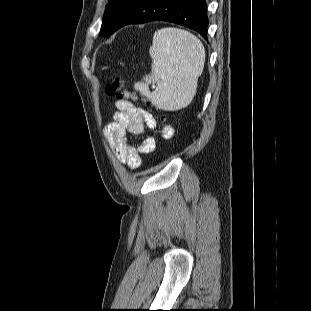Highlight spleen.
I'll use <instances>...</instances> for the list:
<instances>
[{
  "label": "spleen",
  "instance_id": "3e777b00",
  "mask_svg": "<svg viewBox=\"0 0 311 311\" xmlns=\"http://www.w3.org/2000/svg\"><path fill=\"white\" fill-rule=\"evenodd\" d=\"M149 54L151 74L143 82L135 83L134 89L165 111L187 107L204 68L205 49L201 41L186 30L166 27L154 33ZM151 83L157 85L152 92Z\"/></svg>",
  "mask_w": 311,
  "mask_h": 311
}]
</instances>
